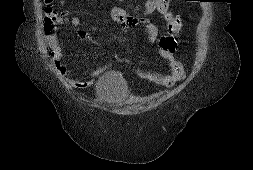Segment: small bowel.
Listing matches in <instances>:
<instances>
[{"mask_svg": "<svg viewBox=\"0 0 253 170\" xmlns=\"http://www.w3.org/2000/svg\"><path fill=\"white\" fill-rule=\"evenodd\" d=\"M93 1V0H86ZM170 0H147L142 7V14H149L152 12H158L167 21L169 30L172 33L180 31L182 28V20L179 17H174L169 10ZM45 9L47 13H51L53 8V0H45ZM111 20L122 26L124 29H131L140 25H144L146 32V40L153 44L157 43L159 45L160 55L164 60L169 63L170 70L167 73H156V72H139V75L153 83L164 87H171L175 83L181 81L185 77V70L183 64L175 58V51L177 49V41L173 35H163L160 36L158 33V28L156 25L151 23L145 18L133 16L129 14L126 10L120 7H113L110 11ZM175 21L179 22V26L175 27L173 24ZM70 23L74 27L80 25V18L77 16H69L65 12L58 14L55 23L56 25H62L65 23ZM79 37L82 39H89L88 33L85 31L79 32ZM47 40L49 45L56 51L55 67L57 71L66 77L70 86L73 88L84 89L92 85L93 79L100 75L104 69L94 70L88 77L77 78L75 73L69 69V67L63 63L61 60V55L59 53V42L57 35L54 31L47 34Z\"/></svg>", "mask_w": 253, "mask_h": 170, "instance_id": "1", "label": "small bowel"}]
</instances>
